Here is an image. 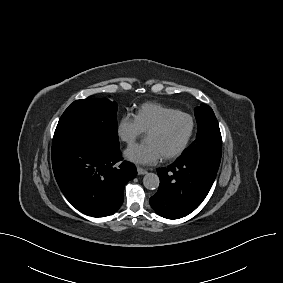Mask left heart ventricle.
<instances>
[{
	"mask_svg": "<svg viewBox=\"0 0 283 283\" xmlns=\"http://www.w3.org/2000/svg\"><path fill=\"white\" fill-rule=\"evenodd\" d=\"M189 130L190 122L187 118L175 117L161 132L148 134L146 141L155 144L164 155L180 147Z\"/></svg>",
	"mask_w": 283,
	"mask_h": 283,
	"instance_id": "obj_1",
	"label": "left heart ventricle"
}]
</instances>
